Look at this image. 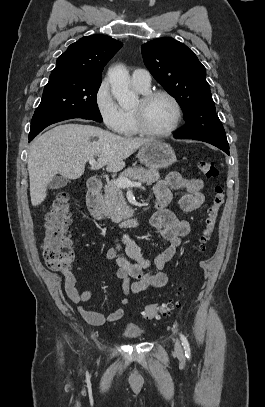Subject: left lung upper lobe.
<instances>
[{
	"label": "left lung upper lobe",
	"instance_id": "1",
	"mask_svg": "<svg viewBox=\"0 0 265 407\" xmlns=\"http://www.w3.org/2000/svg\"><path fill=\"white\" fill-rule=\"evenodd\" d=\"M144 63L153 77L172 95L183 110L186 124L177 139H196L229 148L219 120L205 67L185 44L171 37L149 41L141 47Z\"/></svg>",
	"mask_w": 265,
	"mask_h": 407
}]
</instances>
